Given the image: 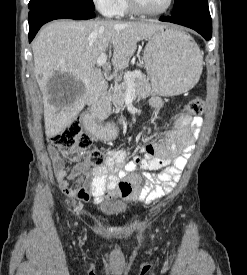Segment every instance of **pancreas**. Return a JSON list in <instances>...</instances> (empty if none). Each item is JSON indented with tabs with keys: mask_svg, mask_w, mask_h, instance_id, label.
<instances>
[{
	"mask_svg": "<svg viewBox=\"0 0 247 275\" xmlns=\"http://www.w3.org/2000/svg\"><path fill=\"white\" fill-rule=\"evenodd\" d=\"M130 85L134 89L135 97L144 98L153 93L146 75H137L131 79L130 83L124 79L123 83L115 85L111 96V101L116 107H122L125 104Z\"/></svg>",
	"mask_w": 247,
	"mask_h": 275,
	"instance_id": "1",
	"label": "pancreas"
}]
</instances>
